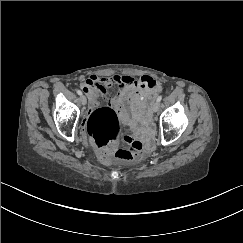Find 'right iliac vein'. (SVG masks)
<instances>
[{
    "label": "right iliac vein",
    "mask_w": 243,
    "mask_h": 243,
    "mask_svg": "<svg viewBox=\"0 0 243 243\" xmlns=\"http://www.w3.org/2000/svg\"><path fill=\"white\" fill-rule=\"evenodd\" d=\"M80 101H81L82 105H85L87 103V99H86V97L84 95H81Z\"/></svg>",
    "instance_id": "obj_1"
}]
</instances>
